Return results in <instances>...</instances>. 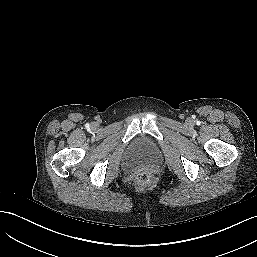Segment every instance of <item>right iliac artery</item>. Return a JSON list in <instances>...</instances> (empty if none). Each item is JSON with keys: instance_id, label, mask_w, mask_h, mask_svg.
I'll return each mask as SVG.
<instances>
[{"instance_id": "1", "label": "right iliac artery", "mask_w": 257, "mask_h": 257, "mask_svg": "<svg viewBox=\"0 0 257 257\" xmlns=\"http://www.w3.org/2000/svg\"><path fill=\"white\" fill-rule=\"evenodd\" d=\"M86 127L88 128V127H89V125L87 124V125H86Z\"/></svg>"}]
</instances>
